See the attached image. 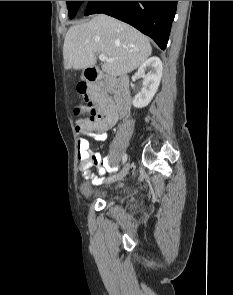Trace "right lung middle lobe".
Segmentation results:
<instances>
[{"instance_id":"1","label":"right lung middle lobe","mask_w":233,"mask_h":295,"mask_svg":"<svg viewBox=\"0 0 233 295\" xmlns=\"http://www.w3.org/2000/svg\"><path fill=\"white\" fill-rule=\"evenodd\" d=\"M67 2V8H68V11H69V18H73L80 5L84 2V1H66Z\"/></svg>"}]
</instances>
